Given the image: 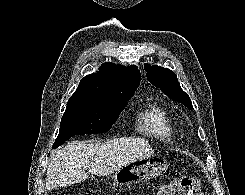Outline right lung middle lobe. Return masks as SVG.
Segmentation results:
<instances>
[{
	"label": "right lung middle lobe",
	"mask_w": 245,
	"mask_h": 195,
	"mask_svg": "<svg viewBox=\"0 0 245 195\" xmlns=\"http://www.w3.org/2000/svg\"><path fill=\"white\" fill-rule=\"evenodd\" d=\"M127 101H111L87 96L70 97L53 148L62 145L74 135L109 131Z\"/></svg>",
	"instance_id": "dd1d6c3e"
}]
</instances>
